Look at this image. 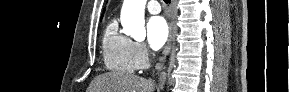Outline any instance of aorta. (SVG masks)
<instances>
[{
	"label": "aorta",
	"instance_id": "762f6f07",
	"mask_svg": "<svg viewBox=\"0 0 289 92\" xmlns=\"http://www.w3.org/2000/svg\"><path fill=\"white\" fill-rule=\"evenodd\" d=\"M146 0H124L121 10V24L124 33L136 40L146 36L145 11Z\"/></svg>",
	"mask_w": 289,
	"mask_h": 92
}]
</instances>
